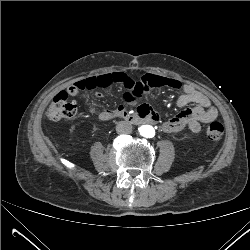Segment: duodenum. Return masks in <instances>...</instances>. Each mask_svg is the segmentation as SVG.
<instances>
[{"instance_id":"410a0bca","label":"duodenum","mask_w":250,"mask_h":250,"mask_svg":"<svg viewBox=\"0 0 250 250\" xmlns=\"http://www.w3.org/2000/svg\"><path fill=\"white\" fill-rule=\"evenodd\" d=\"M115 117H122L131 123L139 124V123H157L158 116L153 110L144 109L139 111L137 114L132 115L125 109H117L112 111H105L99 115V119L101 121H109Z\"/></svg>"}]
</instances>
